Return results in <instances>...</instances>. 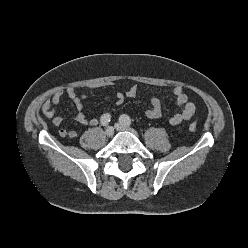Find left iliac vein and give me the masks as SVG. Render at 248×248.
<instances>
[{"label": "left iliac vein", "mask_w": 248, "mask_h": 248, "mask_svg": "<svg viewBox=\"0 0 248 248\" xmlns=\"http://www.w3.org/2000/svg\"><path fill=\"white\" fill-rule=\"evenodd\" d=\"M115 128H116V130H118V131H129V132H131V133H133V134H135L136 135V132L133 130V129H131L129 126H127V125H124L123 123H116L115 124Z\"/></svg>", "instance_id": "4c4485c4"}]
</instances>
